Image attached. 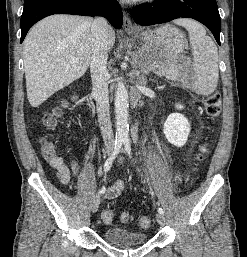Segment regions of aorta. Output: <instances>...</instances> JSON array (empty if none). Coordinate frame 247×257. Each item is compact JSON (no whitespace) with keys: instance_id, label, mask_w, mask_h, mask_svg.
<instances>
[{"instance_id":"aorta-1","label":"aorta","mask_w":247,"mask_h":257,"mask_svg":"<svg viewBox=\"0 0 247 257\" xmlns=\"http://www.w3.org/2000/svg\"><path fill=\"white\" fill-rule=\"evenodd\" d=\"M128 106V90L120 79L115 94V126L118 140H126L129 136Z\"/></svg>"}]
</instances>
